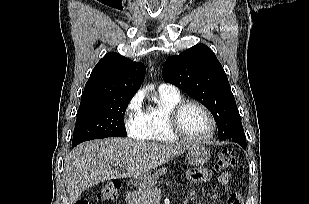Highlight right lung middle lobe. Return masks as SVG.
<instances>
[{
  "label": "right lung middle lobe",
  "mask_w": 309,
  "mask_h": 204,
  "mask_svg": "<svg viewBox=\"0 0 309 204\" xmlns=\"http://www.w3.org/2000/svg\"><path fill=\"white\" fill-rule=\"evenodd\" d=\"M129 97H113L80 104L72 147L79 143L105 137H125L124 114Z\"/></svg>",
  "instance_id": "right-lung-middle-lobe-1"
}]
</instances>
